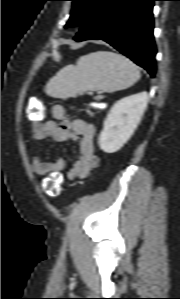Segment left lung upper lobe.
Instances as JSON below:
<instances>
[{
  "label": "left lung upper lobe",
  "instance_id": "5c2ea615",
  "mask_svg": "<svg viewBox=\"0 0 180 299\" xmlns=\"http://www.w3.org/2000/svg\"><path fill=\"white\" fill-rule=\"evenodd\" d=\"M73 2L71 16L65 27L82 25L98 0H70Z\"/></svg>",
  "mask_w": 180,
  "mask_h": 299
}]
</instances>
